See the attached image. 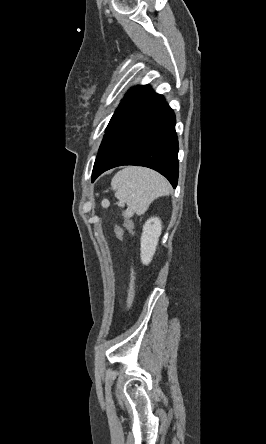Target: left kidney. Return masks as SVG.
<instances>
[{
    "label": "left kidney",
    "mask_w": 266,
    "mask_h": 444,
    "mask_svg": "<svg viewBox=\"0 0 266 444\" xmlns=\"http://www.w3.org/2000/svg\"><path fill=\"white\" fill-rule=\"evenodd\" d=\"M162 231V223L158 217H151L143 225L141 235V261L148 265L156 251L159 237Z\"/></svg>",
    "instance_id": "obj_1"
}]
</instances>
